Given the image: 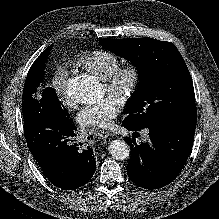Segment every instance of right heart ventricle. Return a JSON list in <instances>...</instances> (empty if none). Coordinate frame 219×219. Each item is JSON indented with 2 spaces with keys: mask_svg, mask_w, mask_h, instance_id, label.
Here are the masks:
<instances>
[{
  "mask_svg": "<svg viewBox=\"0 0 219 219\" xmlns=\"http://www.w3.org/2000/svg\"><path fill=\"white\" fill-rule=\"evenodd\" d=\"M78 65L101 80H105L120 65L118 57L108 51L97 50L82 56Z\"/></svg>",
  "mask_w": 219,
  "mask_h": 219,
  "instance_id": "1",
  "label": "right heart ventricle"
}]
</instances>
